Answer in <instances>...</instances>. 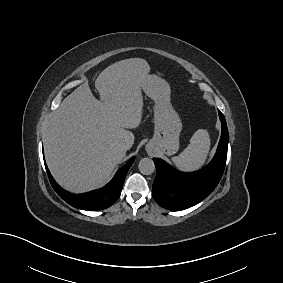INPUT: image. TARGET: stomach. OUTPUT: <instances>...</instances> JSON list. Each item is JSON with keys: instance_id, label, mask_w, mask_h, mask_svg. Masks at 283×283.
Listing matches in <instances>:
<instances>
[{"instance_id": "0dacf381", "label": "stomach", "mask_w": 283, "mask_h": 283, "mask_svg": "<svg viewBox=\"0 0 283 283\" xmlns=\"http://www.w3.org/2000/svg\"><path fill=\"white\" fill-rule=\"evenodd\" d=\"M146 95L154 100V135L147 143L148 151H159L173 155L179 149V136L182 122L170 102L171 88L163 79L150 75L142 84Z\"/></svg>"}]
</instances>
